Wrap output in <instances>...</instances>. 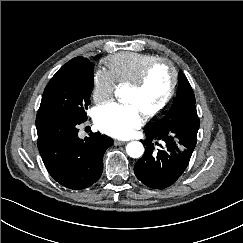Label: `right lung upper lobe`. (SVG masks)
<instances>
[{"mask_svg": "<svg viewBox=\"0 0 243 243\" xmlns=\"http://www.w3.org/2000/svg\"><path fill=\"white\" fill-rule=\"evenodd\" d=\"M81 59H85V58L79 56V57H76V58L70 60L69 62H77V61H79V60H81Z\"/></svg>", "mask_w": 243, "mask_h": 243, "instance_id": "1", "label": "right lung upper lobe"}]
</instances>
